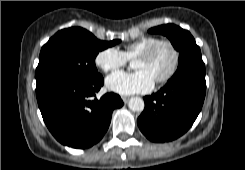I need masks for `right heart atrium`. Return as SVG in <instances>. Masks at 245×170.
<instances>
[{
	"label": "right heart atrium",
	"instance_id": "d8ad5b80",
	"mask_svg": "<svg viewBox=\"0 0 245 170\" xmlns=\"http://www.w3.org/2000/svg\"><path fill=\"white\" fill-rule=\"evenodd\" d=\"M127 61L128 58L123 51L115 47H106L100 50L94 59L96 66L104 72L115 71L125 66Z\"/></svg>",
	"mask_w": 245,
	"mask_h": 170
}]
</instances>
